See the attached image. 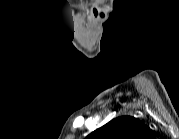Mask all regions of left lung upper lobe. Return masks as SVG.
I'll use <instances>...</instances> for the list:
<instances>
[{
	"label": "left lung upper lobe",
	"instance_id": "1",
	"mask_svg": "<svg viewBox=\"0 0 179 139\" xmlns=\"http://www.w3.org/2000/svg\"><path fill=\"white\" fill-rule=\"evenodd\" d=\"M151 134L150 128L132 116L117 117L90 136L94 139H144Z\"/></svg>",
	"mask_w": 179,
	"mask_h": 139
}]
</instances>
